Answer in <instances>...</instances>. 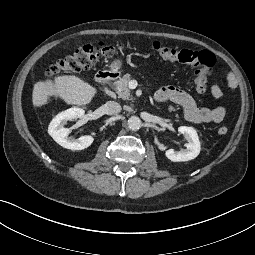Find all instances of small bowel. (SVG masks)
Masks as SVG:
<instances>
[{
  "label": "small bowel",
  "instance_id": "obj_1",
  "mask_svg": "<svg viewBox=\"0 0 255 255\" xmlns=\"http://www.w3.org/2000/svg\"><path fill=\"white\" fill-rule=\"evenodd\" d=\"M226 80L230 91H235L237 88L235 75L232 72H228ZM210 91L216 99L223 97V91L216 83L210 85ZM154 99L159 103L171 101L177 104L182 108L185 118L195 124L208 122L219 123L224 119L226 114V109L223 106L213 109L197 106L190 94L175 86H166L159 89L155 93Z\"/></svg>",
  "mask_w": 255,
  "mask_h": 255
}]
</instances>
